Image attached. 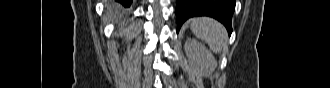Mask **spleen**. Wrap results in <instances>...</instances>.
Segmentation results:
<instances>
[{
	"label": "spleen",
	"mask_w": 330,
	"mask_h": 88,
	"mask_svg": "<svg viewBox=\"0 0 330 88\" xmlns=\"http://www.w3.org/2000/svg\"><path fill=\"white\" fill-rule=\"evenodd\" d=\"M190 29L194 35L205 41L215 53H220L225 45V29L223 25L208 17L190 19Z\"/></svg>",
	"instance_id": "1"
}]
</instances>
